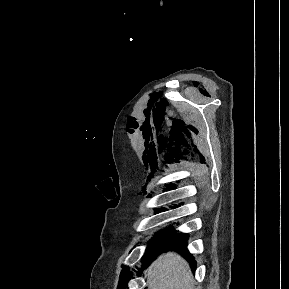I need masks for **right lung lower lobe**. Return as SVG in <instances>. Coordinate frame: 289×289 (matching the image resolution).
I'll return each instance as SVG.
<instances>
[{
    "label": "right lung lower lobe",
    "instance_id": "1",
    "mask_svg": "<svg viewBox=\"0 0 289 289\" xmlns=\"http://www.w3.org/2000/svg\"><path fill=\"white\" fill-rule=\"evenodd\" d=\"M187 236L176 235L172 237L155 236L153 243L147 248L145 255L143 256V263L153 261L156 256L167 249H180L186 248ZM195 264V262H194Z\"/></svg>",
    "mask_w": 289,
    "mask_h": 289
}]
</instances>
